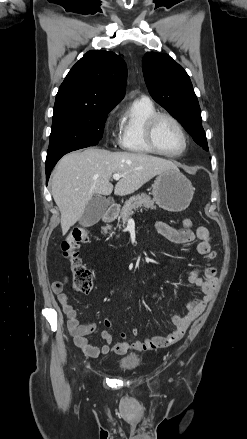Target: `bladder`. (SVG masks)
<instances>
[{
	"instance_id": "31cf9c89",
	"label": "bladder",
	"mask_w": 247,
	"mask_h": 439,
	"mask_svg": "<svg viewBox=\"0 0 247 439\" xmlns=\"http://www.w3.org/2000/svg\"><path fill=\"white\" fill-rule=\"evenodd\" d=\"M141 362V358L136 353H130L118 361V366L123 370H134Z\"/></svg>"
}]
</instances>
